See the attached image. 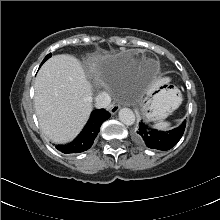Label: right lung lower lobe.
I'll use <instances>...</instances> for the list:
<instances>
[{"mask_svg": "<svg viewBox=\"0 0 220 220\" xmlns=\"http://www.w3.org/2000/svg\"><path fill=\"white\" fill-rule=\"evenodd\" d=\"M110 116L111 114L104 109L94 110L88 123L79 136L71 143L66 145H58L56 148L65 154L80 153L88 150L92 146L97 134L99 133L101 124L110 118Z\"/></svg>", "mask_w": 220, "mask_h": 220, "instance_id": "right-lung-lower-lobe-1", "label": "right lung lower lobe"}]
</instances>
